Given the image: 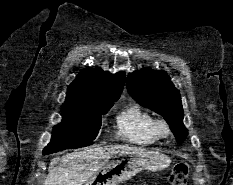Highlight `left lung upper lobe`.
<instances>
[{
	"label": "left lung upper lobe",
	"mask_w": 233,
	"mask_h": 185,
	"mask_svg": "<svg viewBox=\"0 0 233 185\" xmlns=\"http://www.w3.org/2000/svg\"><path fill=\"white\" fill-rule=\"evenodd\" d=\"M129 94L142 106L162 115L182 143L188 131L183 125L184 112L179 91L164 71L142 69L130 73L126 83Z\"/></svg>",
	"instance_id": "5c2ea615"
}]
</instances>
